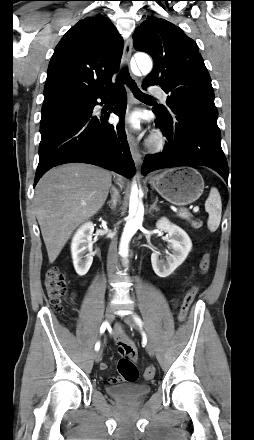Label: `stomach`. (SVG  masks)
<instances>
[{"label":"stomach","mask_w":254,"mask_h":440,"mask_svg":"<svg viewBox=\"0 0 254 440\" xmlns=\"http://www.w3.org/2000/svg\"><path fill=\"white\" fill-rule=\"evenodd\" d=\"M149 183L164 199L176 205L195 202L204 190L202 175L191 167L165 170L151 177Z\"/></svg>","instance_id":"obj_1"}]
</instances>
